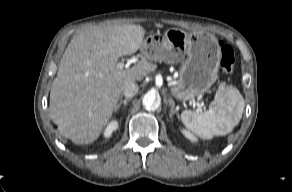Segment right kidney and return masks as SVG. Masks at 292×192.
Wrapping results in <instances>:
<instances>
[{"label": "right kidney", "mask_w": 292, "mask_h": 192, "mask_svg": "<svg viewBox=\"0 0 292 192\" xmlns=\"http://www.w3.org/2000/svg\"><path fill=\"white\" fill-rule=\"evenodd\" d=\"M118 127V122L116 120H113L109 123V125L107 126V128L104 131V136L105 137H110V135L112 134V132L114 130H116Z\"/></svg>", "instance_id": "ca27d5eb"}]
</instances>
